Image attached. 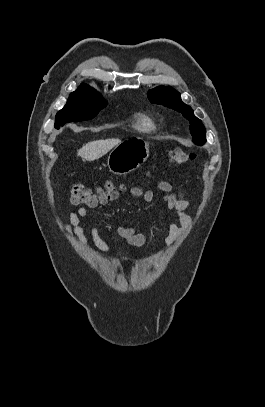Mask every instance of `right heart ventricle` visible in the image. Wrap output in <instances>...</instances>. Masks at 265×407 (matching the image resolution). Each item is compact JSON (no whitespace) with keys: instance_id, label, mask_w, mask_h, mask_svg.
I'll use <instances>...</instances> for the list:
<instances>
[{"instance_id":"1","label":"right heart ventricle","mask_w":265,"mask_h":407,"mask_svg":"<svg viewBox=\"0 0 265 407\" xmlns=\"http://www.w3.org/2000/svg\"><path fill=\"white\" fill-rule=\"evenodd\" d=\"M135 128L140 132L149 133L155 130L156 125L151 117L141 113L137 116Z\"/></svg>"}]
</instances>
